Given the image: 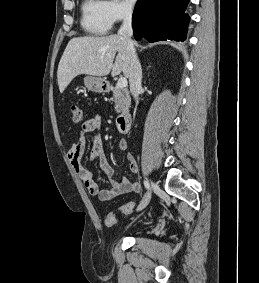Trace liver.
Listing matches in <instances>:
<instances>
[{"mask_svg":"<svg viewBox=\"0 0 259 283\" xmlns=\"http://www.w3.org/2000/svg\"><path fill=\"white\" fill-rule=\"evenodd\" d=\"M129 67L127 44L119 34L75 37L68 42L58 65L59 90L63 93L72 79L80 74L102 77L110 72L112 76L123 72L128 78Z\"/></svg>","mask_w":259,"mask_h":283,"instance_id":"1","label":"liver"}]
</instances>
